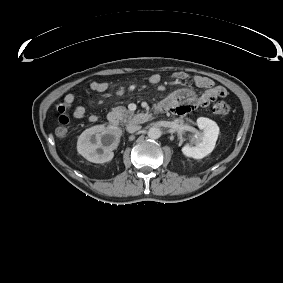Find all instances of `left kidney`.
<instances>
[{
	"instance_id": "left-kidney-1",
	"label": "left kidney",
	"mask_w": 283,
	"mask_h": 283,
	"mask_svg": "<svg viewBox=\"0 0 283 283\" xmlns=\"http://www.w3.org/2000/svg\"><path fill=\"white\" fill-rule=\"evenodd\" d=\"M197 126L203 132L193 137L194 146L184 145L182 153L187 157L202 159L214 150L219 135V127L215 121L205 117L197 119Z\"/></svg>"
}]
</instances>
